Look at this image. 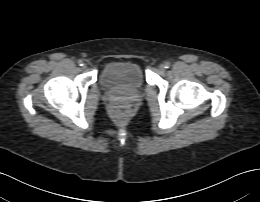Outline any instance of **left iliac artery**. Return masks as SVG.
<instances>
[{
  "label": "left iliac artery",
  "mask_w": 260,
  "mask_h": 202,
  "mask_svg": "<svg viewBox=\"0 0 260 202\" xmlns=\"http://www.w3.org/2000/svg\"><path fill=\"white\" fill-rule=\"evenodd\" d=\"M170 65H171V64H170V62H168V61H167V62H165V64H164L165 68H169V67H170Z\"/></svg>",
  "instance_id": "1"
}]
</instances>
